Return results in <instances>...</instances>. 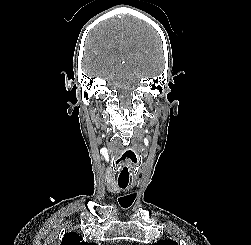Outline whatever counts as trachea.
<instances>
[{
  "label": "trachea",
  "instance_id": "3493384b",
  "mask_svg": "<svg viewBox=\"0 0 251 245\" xmlns=\"http://www.w3.org/2000/svg\"><path fill=\"white\" fill-rule=\"evenodd\" d=\"M118 185L120 188L125 189L127 187L128 183H118Z\"/></svg>",
  "mask_w": 251,
  "mask_h": 245
}]
</instances>
